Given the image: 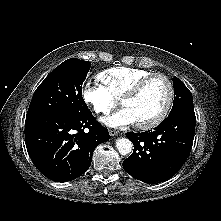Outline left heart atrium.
Returning a JSON list of instances; mask_svg holds the SVG:
<instances>
[{"instance_id":"39dd6f15","label":"left heart atrium","mask_w":221,"mask_h":221,"mask_svg":"<svg viewBox=\"0 0 221 221\" xmlns=\"http://www.w3.org/2000/svg\"><path fill=\"white\" fill-rule=\"evenodd\" d=\"M102 121L110 127H124L136 123L134 116L130 110L126 108L102 119Z\"/></svg>"}]
</instances>
